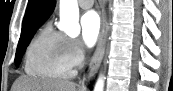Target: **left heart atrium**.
<instances>
[{
	"instance_id": "left-heart-atrium-1",
	"label": "left heart atrium",
	"mask_w": 173,
	"mask_h": 91,
	"mask_svg": "<svg viewBox=\"0 0 173 91\" xmlns=\"http://www.w3.org/2000/svg\"><path fill=\"white\" fill-rule=\"evenodd\" d=\"M80 24L84 43L88 47L93 46L96 43L101 31V21L99 15L93 10L87 11L82 15Z\"/></svg>"
}]
</instances>
